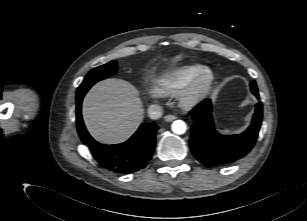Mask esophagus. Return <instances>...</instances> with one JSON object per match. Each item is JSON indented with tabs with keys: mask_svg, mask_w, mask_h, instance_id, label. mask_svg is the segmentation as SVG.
Here are the masks:
<instances>
[{
	"mask_svg": "<svg viewBox=\"0 0 307 221\" xmlns=\"http://www.w3.org/2000/svg\"><path fill=\"white\" fill-rule=\"evenodd\" d=\"M176 119V116L175 115H166L165 117H164V120L166 121V122H171V121H173V120H175Z\"/></svg>",
	"mask_w": 307,
	"mask_h": 221,
	"instance_id": "esophagus-1",
	"label": "esophagus"
}]
</instances>
